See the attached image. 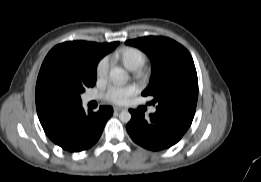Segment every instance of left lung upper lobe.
I'll return each mask as SVG.
<instances>
[{"label":"left lung upper lobe","mask_w":261,"mask_h":182,"mask_svg":"<svg viewBox=\"0 0 261 182\" xmlns=\"http://www.w3.org/2000/svg\"><path fill=\"white\" fill-rule=\"evenodd\" d=\"M144 51L152 62V77L142 95H152L157 111L194 115L198 98V78L188 50L176 41L148 36L126 41Z\"/></svg>","instance_id":"obj_1"}]
</instances>
